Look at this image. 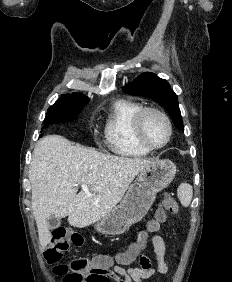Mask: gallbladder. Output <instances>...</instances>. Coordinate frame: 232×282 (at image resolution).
<instances>
[{
    "label": "gallbladder",
    "instance_id": "gallbladder-1",
    "mask_svg": "<svg viewBox=\"0 0 232 282\" xmlns=\"http://www.w3.org/2000/svg\"><path fill=\"white\" fill-rule=\"evenodd\" d=\"M47 225L50 230L56 229L61 225V220L56 216H50L47 220Z\"/></svg>",
    "mask_w": 232,
    "mask_h": 282
}]
</instances>
